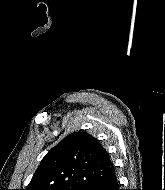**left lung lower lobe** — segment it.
<instances>
[{
  "mask_svg": "<svg viewBox=\"0 0 165 190\" xmlns=\"http://www.w3.org/2000/svg\"><path fill=\"white\" fill-rule=\"evenodd\" d=\"M95 190H119V182L117 180L115 168L107 175L103 182L98 185Z\"/></svg>",
  "mask_w": 165,
  "mask_h": 190,
  "instance_id": "obj_1",
  "label": "left lung lower lobe"
}]
</instances>
